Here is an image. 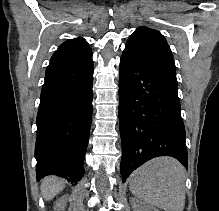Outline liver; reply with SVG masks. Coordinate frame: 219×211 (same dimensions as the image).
<instances>
[{"label":"liver","instance_id":"obj_1","mask_svg":"<svg viewBox=\"0 0 219 211\" xmlns=\"http://www.w3.org/2000/svg\"><path fill=\"white\" fill-rule=\"evenodd\" d=\"M65 183V179L57 177V175H47V177H44L41 183V191L46 201H48V199H53L59 191H62L65 187Z\"/></svg>","mask_w":219,"mask_h":211}]
</instances>
